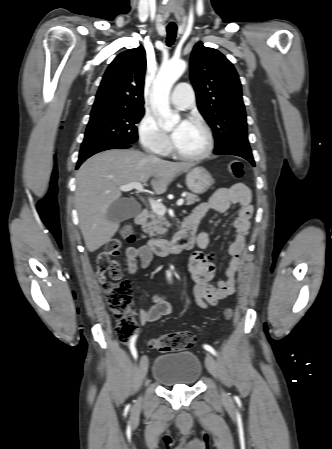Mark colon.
<instances>
[{"mask_svg":"<svg viewBox=\"0 0 332 449\" xmlns=\"http://www.w3.org/2000/svg\"><path fill=\"white\" fill-rule=\"evenodd\" d=\"M228 171L234 178L244 176V165L241 161L234 160L228 164ZM121 238L132 242L135 238L133 227H123L120 232ZM121 250V240L112 239L106 248L100 252L96 258L99 277L105 278L106 273L113 281L103 283V291L110 311L117 318L116 333L122 342H129L138 330V324L130 309L133 299L132 284L128 280H119L121 276V266L116 261L111 260ZM226 320L233 317V310L227 308L224 311ZM195 341V336L191 332H174L149 341L151 348L160 352L181 351L190 348Z\"/></svg>","mask_w":332,"mask_h":449,"instance_id":"5ec220e1","label":"colon"}]
</instances>
